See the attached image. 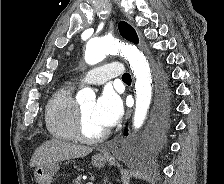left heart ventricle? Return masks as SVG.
<instances>
[{"mask_svg":"<svg viewBox=\"0 0 224 184\" xmlns=\"http://www.w3.org/2000/svg\"><path fill=\"white\" fill-rule=\"evenodd\" d=\"M94 103L93 100H89L81 104L84 116V129L89 136H96L105 131V128L93 116Z\"/></svg>","mask_w":224,"mask_h":184,"instance_id":"1","label":"left heart ventricle"}]
</instances>
